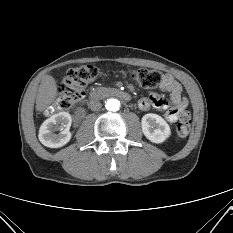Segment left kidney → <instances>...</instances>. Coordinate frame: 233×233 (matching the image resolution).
<instances>
[{
    "label": "left kidney",
    "instance_id": "1",
    "mask_svg": "<svg viewBox=\"0 0 233 233\" xmlns=\"http://www.w3.org/2000/svg\"><path fill=\"white\" fill-rule=\"evenodd\" d=\"M145 137L153 143H162L171 135L168 123L159 115L148 113L141 120Z\"/></svg>",
    "mask_w": 233,
    "mask_h": 233
}]
</instances>
